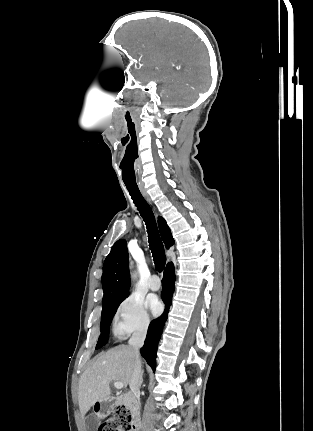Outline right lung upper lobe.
I'll use <instances>...</instances> for the list:
<instances>
[{"mask_svg":"<svg viewBox=\"0 0 313 431\" xmlns=\"http://www.w3.org/2000/svg\"><path fill=\"white\" fill-rule=\"evenodd\" d=\"M158 225L165 246L169 248L174 244L170 228L162 217H159ZM129 276L126 240L121 239L113 245L103 265V304L128 296Z\"/></svg>","mask_w":313,"mask_h":431,"instance_id":"right-lung-upper-lobe-1","label":"right lung upper lobe"}]
</instances>
